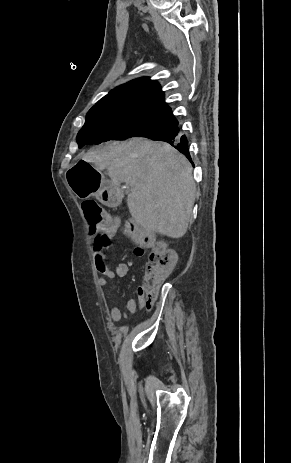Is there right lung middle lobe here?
Segmentation results:
<instances>
[{
	"label": "right lung middle lobe",
	"mask_w": 291,
	"mask_h": 463,
	"mask_svg": "<svg viewBox=\"0 0 291 463\" xmlns=\"http://www.w3.org/2000/svg\"><path fill=\"white\" fill-rule=\"evenodd\" d=\"M166 120L139 114L110 113L90 109L86 121L77 135L79 148L109 140H126L146 137L166 129Z\"/></svg>",
	"instance_id": "1"
}]
</instances>
